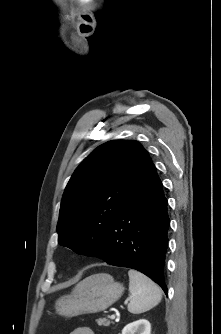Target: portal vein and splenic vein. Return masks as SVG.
<instances>
[{"label":"portal vein and splenic vein","instance_id":"obj_1","mask_svg":"<svg viewBox=\"0 0 221 334\" xmlns=\"http://www.w3.org/2000/svg\"><path fill=\"white\" fill-rule=\"evenodd\" d=\"M115 317H116V316L113 314V315L110 316V319H111V320H114Z\"/></svg>","mask_w":221,"mask_h":334}]
</instances>
